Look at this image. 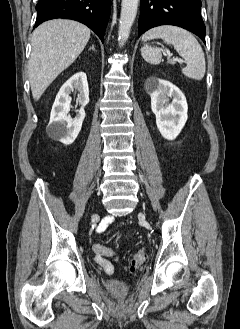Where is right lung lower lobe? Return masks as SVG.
<instances>
[{"label":"right lung lower lobe","instance_id":"98d812e1","mask_svg":"<svg viewBox=\"0 0 240 329\" xmlns=\"http://www.w3.org/2000/svg\"><path fill=\"white\" fill-rule=\"evenodd\" d=\"M110 9L111 0H39L35 27L51 19H72L88 26L103 42Z\"/></svg>","mask_w":240,"mask_h":329}]
</instances>
